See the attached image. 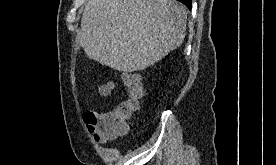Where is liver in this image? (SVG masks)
I'll list each match as a JSON object with an SVG mask.
<instances>
[{
	"instance_id": "1",
	"label": "liver",
	"mask_w": 276,
	"mask_h": 165,
	"mask_svg": "<svg viewBox=\"0 0 276 165\" xmlns=\"http://www.w3.org/2000/svg\"><path fill=\"white\" fill-rule=\"evenodd\" d=\"M187 14L176 0H88L79 39L101 65L141 71L182 44Z\"/></svg>"
}]
</instances>
